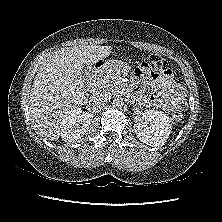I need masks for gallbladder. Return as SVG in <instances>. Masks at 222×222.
Masks as SVG:
<instances>
[{
  "instance_id": "1",
  "label": "gallbladder",
  "mask_w": 222,
  "mask_h": 222,
  "mask_svg": "<svg viewBox=\"0 0 222 222\" xmlns=\"http://www.w3.org/2000/svg\"><path fill=\"white\" fill-rule=\"evenodd\" d=\"M90 77L89 67H85L84 78L87 80ZM85 80V81H86Z\"/></svg>"
}]
</instances>
